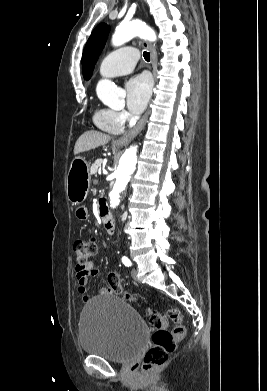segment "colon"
<instances>
[{
	"label": "colon",
	"instance_id": "colon-1",
	"mask_svg": "<svg viewBox=\"0 0 267 391\" xmlns=\"http://www.w3.org/2000/svg\"><path fill=\"white\" fill-rule=\"evenodd\" d=\"M73 252L76 258V267L86 269L92 265V259L98 252V245L95 240L78 239L73 244ZM107 282L108 290L111 293L124 294L126 300H134L132 294L123 291L117 272H109ZM146 320L152 331V344L143 357L142 369L144 372L150 373L167 362L177 344L184 338L186 329L181 324L180 311L176 308H169L165 312L149 309ZM169 320L176 324L171 330L169 329Z\"/></svg>",
	"mask_w": 267,
	"mask_h": 391
}]
</instances>
